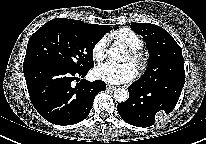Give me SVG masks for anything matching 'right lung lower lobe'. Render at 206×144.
<instances>
[{
	"label": "right lung lower lobe",
	"instance_id": "right-lung-lower-lobe-1",
	"mask_svg": "<svg viewBox=\"0 0 206 144\" xmlns=\"http://www.w3.org/2000/svg\"><path fill=\"white\" fill-rule=\"evenodd\" d=\"M89 69L73 71L45 62L23 64L29 96L38 113L56 125L84 120L96 94L106 89L104 81L80 80Z\"/></svg>",
	"mask_w": 206,
	"mask_h": 144
}]
</instances>
